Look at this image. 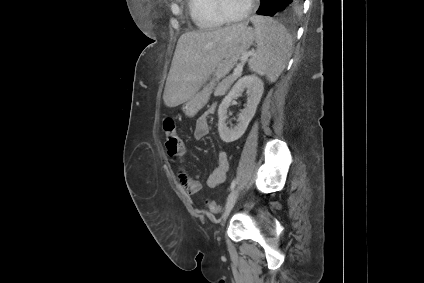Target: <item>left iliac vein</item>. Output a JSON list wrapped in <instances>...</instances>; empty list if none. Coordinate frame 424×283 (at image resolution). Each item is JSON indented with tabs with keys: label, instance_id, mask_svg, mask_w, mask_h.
<instances>
[{
	"label": "left iliac vein",
	"instance_id": "1",
	"mask_svg": "<svg viewBox=\"0 0 424 283\" xmlns=\"http://www.w3.org/2000/svg\"><path fill=\"white\" fill-rule=\"evenodd\" d=\"M238 195H239V190L238 189H235V190H233L230 193V195H229V197L227 199L226 205H225L224 213L222 215L223 221L227 218V216L229 215V213L232 210L233 206L235 205V202H236V200L238 198Z\"/></svg>",
	"mask_w": 424,
	"mask_h": 283
}]
</instances>
